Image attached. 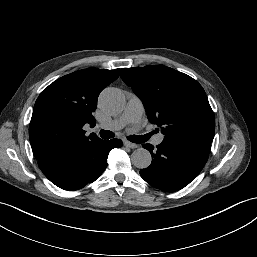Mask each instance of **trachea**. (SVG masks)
I'll return each instance as SVG.
<instances>
[{
  "label": "trachea",
  "instance_id": "trachea-1",
  "mask_svg": "<svg viewBox=\"0 0 257 257\" xmlns=\"http://www.w3.org/2000/svg\"><path fill=\"white\" fill-rule=\"evenodd\" d=\"M100 137L103 139H110L114 137V133L109 130H101L100 131ZM151 134H146V135H130L128 136V140L133 142V143H143L147 141L150 138Z\"/></svg>",
  "mask_w": 257,
  "mask_h": 257
}]
</instances>
